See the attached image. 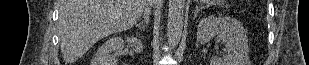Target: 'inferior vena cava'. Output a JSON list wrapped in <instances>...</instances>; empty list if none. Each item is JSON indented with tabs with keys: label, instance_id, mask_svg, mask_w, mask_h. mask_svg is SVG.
<instances>
[{
	"label": "inferior vena cava",
	"instance_id": "obj_1",
	"mask_svg": "<svg viewBox=\"0 0 309 65\" xmlns=\"http://www.w3.org/2000/svg\"><path fill=\"white\" fill-rule=\"evenodd\" d=\"M154 0H150V4L145 8L143 12V18L145 22H149V14H150V5H152Z\"/></svg>",
	"mask_w": 309,
	"mask_h": 65
}]
</instances>
